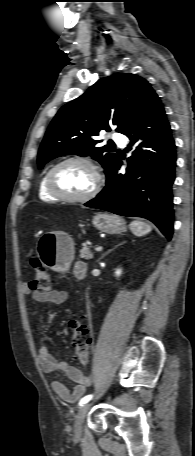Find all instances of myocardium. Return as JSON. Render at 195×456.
Wrapping results in <instances>:
<instances>
[{
    "mask_svg": "<svg viewBox=\"0 0 195 456\" xmlns=\"http://www.w3.org/2000/svg\"><path fill=\"white\" fill-rule=\"evenodd\" d=\"M68 163H81L88 166L94 175V184L91 190L82 196H70L61 192L55 185V174L64 165ZM102 178L98 167L93 161L86 157H69L55 164L47 173L46 187L48 192L56 199L69 203H85L93 199L100 190Z\"/></svg>",
    "mask_w": 195,
    "mask_h": 456,
    "instance_id": "obj_1",
    "label": "myocardium"
}]
</instances>
